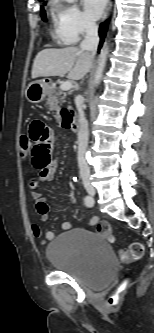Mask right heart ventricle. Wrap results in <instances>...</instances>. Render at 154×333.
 Returning <instances> with one entry per match:
<instances>
[{"instance_id": "obj_1", "label": "right heart ventricle", "mask_w": 154, "mask_h": 333, "mask_svg": "<svg viewBox=\"0 0 154 333\" xmlns=\"http://www.w3.org/2000/svg\"><path fill=\"white\" fill-rule=\"evenodd\" d=\"M58 18H59V5L54 4L51 7V19L54 27V36L60 40Z\"/></svg>"}]
</instances>
